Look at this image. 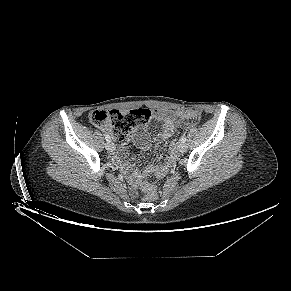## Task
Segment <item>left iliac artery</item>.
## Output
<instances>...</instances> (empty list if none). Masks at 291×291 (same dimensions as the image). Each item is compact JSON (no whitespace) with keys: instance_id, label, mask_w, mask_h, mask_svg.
<instances>
[{"instance_id":"44dca946","label":"left iliac artery","mask_w":291,"mask_h":291,"mask_svg":"<svg viewBox=\"0 0 291 291\" xmlns=\"http://www.w3.org/2000/svg\"><path fill=\"white\" fill-rule=\"evenodd\" d=\"M181 142H183V143L186 142V137H185V136H182V137H181Z\"/></svg>"}]
</instances>
